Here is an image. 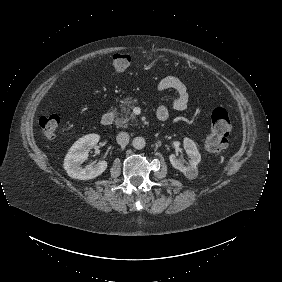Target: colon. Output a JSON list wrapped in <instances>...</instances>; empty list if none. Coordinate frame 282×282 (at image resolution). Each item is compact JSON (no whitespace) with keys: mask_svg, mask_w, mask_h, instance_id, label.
Wrapping results in <instances>:
<instances>
[{"mask_svg":"<svg viewBox=\"0 0 282 282\" xmlns=\"http://www.w3.org/2000/svg\"><path fill=\"white\" fill-rule=\"evenodd\" d=\"M132 64V57L125 53H116L112 57L111 65L119 72L127 70ZM60 124L56 114H49L40 119L41 134L45 138H53ZM231 130L228 112L223 108H216L210 117V129L206 137V149L215 155H221L227 148V137Z\"/></svg>","mask_w":282,"mask_h":282,"instance_id":"colon-1","label":"colon"}]
</instances>
